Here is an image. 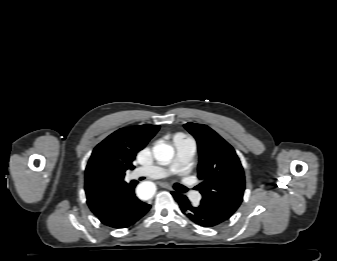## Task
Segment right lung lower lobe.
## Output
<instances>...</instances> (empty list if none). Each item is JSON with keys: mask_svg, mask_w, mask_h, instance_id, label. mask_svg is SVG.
<instances>
[{"mask_svg": "<svg viewBox=\"0 0 337 261\" xmlns=\"http://www.w3.org/2000/svg\"><path fill=\"white\" fill-rule=\"evenodd\" d=\"M137 182L133 181L110 202L109 207L98 215L104 225L119 229L135 224L150 209V205L140 201L134 193Z\"/></svg>", "mask_w": 337, "mask_h": 261, "instance_id": "right-lung-lower-lobe-1", "label": "right lung lower lobe"}]
</instances>
